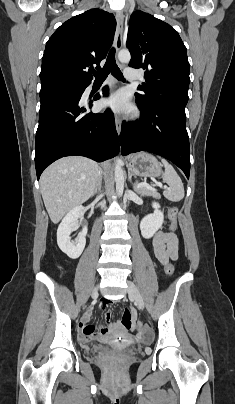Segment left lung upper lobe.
<instances>
[{"mask_svg":"<svg viewBox=\"0 0 235 404\" xmlns=\"http://www.w3.org/2000/svg\"><path fill=\"white\" fill-rule=\"evenodd\" d=\"M127 48L130 67L145 69L146 83L138 87L136 101L143 106L171 101L188 102L189 62L179 34L169 24L142 11L130 17Z\"/></svg>","mask_w":235,"mask_h":404,"instance_id":"obj_1","label":"left lung upper lobe"}]
</instances>
